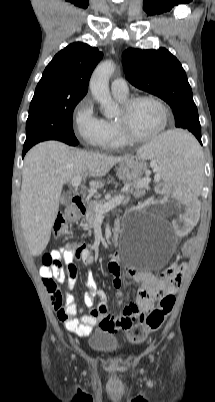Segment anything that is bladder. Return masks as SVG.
<instances>
[{"label": "bladder", "mask_w": 215, "mask_h": 402, "mask_svg": "<svg viewBox=\"0 0 215 402\" xmlns=\"http://www.w3.org/2000/svg\"><path fill=\"white\" fill-rule=\"evenodd\" d=\"M89 347L98 352H114L118 349V340L110 331L101 329L95 331L88 340Z\"/></svg>", "instance_id": "bladder-1"}]
</instances>
